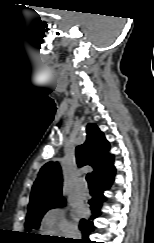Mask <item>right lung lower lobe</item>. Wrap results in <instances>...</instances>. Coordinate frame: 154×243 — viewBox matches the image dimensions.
Segmentation results:
<instances>
[{"instance_id":"98d812e1","label":"right lung lower lobe","mask_w":154,"mask_h":243,"mask_svg":"<svg viewBox=\"0 0 154 243\" xmlns=\"http://www.w3.org/2000/svg\"><path fill=\"white\" fill-rule=\"evenodd\" d=\"M115 176V168L108 173H105L94 179L95 193L89 201L92 215L89 219H82L79 224V229L82 232V240H65L62 238L49 239V243H92L89 240V235L94 231L93 220L101 215V207L105 201L103 192L111 187Z\"/></svg>"}]
</instances>
